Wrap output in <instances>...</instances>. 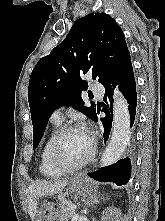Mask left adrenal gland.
Listing matches in <instances>:
<instances>
[{
    "instance_id": "1",
    "label": "left adrenal gland",
    "mask_w": 165,
    "mask_h": 221,
    "mask_svg": "<svg viewBox=\"0 0 165 221\" xmlns=\"http://www.w3.org/2000/svg\"><path fill=\"white\" fill-rule=\"evenodd\" d=\"M99 197L94 195V196H90L87 200H86V205H93V204H97L100 202V199H98Z\"/></svg>"
}]
</instances>
